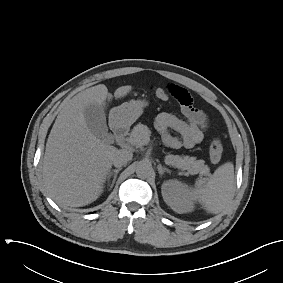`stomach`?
I'll return each instance as SVG.
<instances>
[{
    "mask_svg": "<svg viewBox=\"0 0 283 283\" xmlns=\"http://www.w3.org/2000/svg\"><path fill=\"white\" fill-rule=\"evenodd\" d=\"M147 105L148 102L145 99L131 100L115 108L111 115L118 124L131 125L142 115Z\"/></svg>",
    "mask_w": 283,
    "mask_h": 283,
    "instance_id": "stomach-1",
    "label": "stomach"
}]
</instances>
